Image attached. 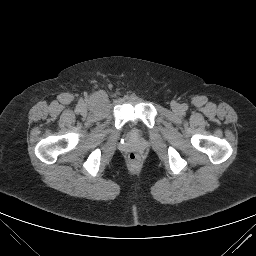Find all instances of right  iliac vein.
I'll return each instance as SVG.
<instances>
[{"instance_id": "obj_1", "label": "right iliac vein", "mask_w": 256, "mask_h": 256, "mask_svg": "<svg viewBox=\"0 0 256 256\" xmlns=\"http://www.w3.org/2000/svg\"><path fill=\"white\" fill-rule=\"evenodd\" d=\"M87 113V109H86V107L85 106H82L81 107V114H86Z\"/></svg>"}]
</instances>
